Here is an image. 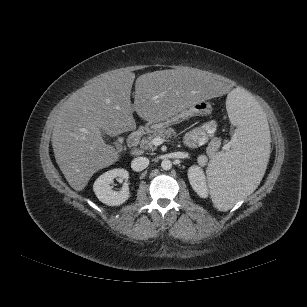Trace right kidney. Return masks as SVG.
Returning <instances> with one entry per match:
<instances>
[{"mask_svg": "<svg viewBox=\"0 0 307 307\" xmlns=\"http://www.w3.org/2000/svg\"><path fill=\"white\" fill-rule=\"evenodd\" d=\"M119 177L125 180L123 187L120 191H114L110 183L114 178ZM129 173L125 169L116 168L109 170L100 175L93 185V190L97 198L108 206H119L128 200L130 196L127 180Z\"/></svg>", "mask_w": 307, "mask_h": 307, "instance_id": "right-kidney-1", "label": "right kidney"}]
</instances>
